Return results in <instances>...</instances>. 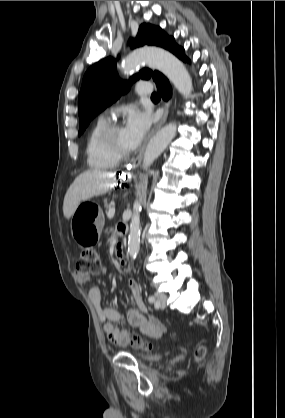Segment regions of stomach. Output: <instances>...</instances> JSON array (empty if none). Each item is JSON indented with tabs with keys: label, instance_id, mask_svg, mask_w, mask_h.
<instances>
[{
	"label": "stomach",
	"instance_id": "obj_1",
	"mask_svg": "<svg viewBox=\"0 0 285 418\" xmlns=\"http://www.w3.org/2000/svg\"><path fill=\"white\" fill-rule=\"evenodd\" d=\"M83 204H79L70 220V228L73 238L85 246L87 242L97 240L102 227L96 224L97 220L102 219V212L99 209L94 217L91 213L83 210ZM95 218V219H94Z\"/></svg>",
	"mask_w": 285,
	"mask_h": 418
}]
</instances>
